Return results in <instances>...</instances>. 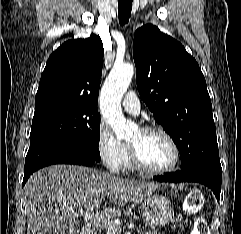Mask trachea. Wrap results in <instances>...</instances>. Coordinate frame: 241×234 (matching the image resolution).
<instances>
[{"label": "trachea", "mask_w": 241, "mask_h": 234, "mask_svg": "<svg viewBox=\"0 0 241 234\" xmlns=\"http://www.w3.org/2000/svg\"><path fill=\"white\" fill-rule=\"evenodd\" d=\"M132 10V0L118 1L119 23L123 26L128 23Z\"/></svg>", "instance_id": "3493384b"}]
</instances>
